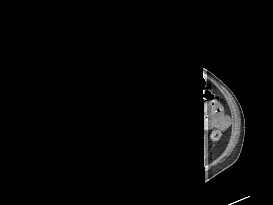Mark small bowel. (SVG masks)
I'll use <instances>...</instances> for the list:
<instances>
[{"mask_svg": "<svg viewBox=\"0 0 273 205\" xmlns=\"http://www.w3.org/2000/svg\"><path fill=\"white\" fill-rule=\"evenodd\" d=\"M204 111H207L208 113L214 115V116H221V110L216 105H207L203 107Z\"/></svg>", "mask_w": 273, "mask_h": 205, "instance_id": "1", "label": "small bowel"}]
</instances>
